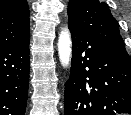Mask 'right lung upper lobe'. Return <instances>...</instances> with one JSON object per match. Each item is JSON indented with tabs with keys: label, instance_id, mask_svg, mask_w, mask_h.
Returning <instances> with one entry per match:
<instances>
[{
	"label": "right lung upper lobe",
	"instance_id": "right-lung-upper-lobe-1",
	"mask_svg": "<svg viewBox=\"0 0 131 115\" xmlns=\"http://www.w3.org/2000/svg\"><path fill=\"white\" fill-rule=\"evenodd\" d=\"M29 8L26 0L0 1V49L22 42L29 36Z\"/></svg>",
	"mask_w": 131,
	"mask_h": 115
}]
</instances>
